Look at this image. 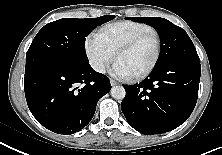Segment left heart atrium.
Wrapping results in <instances>:
<instances>
[{
	"label": "left heart atrium",
	"mask_w": 222,
	"mask_h": 155,
	"mask_svg": "<svg viewBox=\"0 0 222 155\" xmlns=\"http://www.w3.org/2000/svg\"><path fill=\"white\" fill-rule=\"evenodd\" d=\"M112 74L118 78L131 77L129 70L124 66L122 62L117 60L112 67Z\"/></svg>",
	"instance_id": "obj_1"
}]
</instances>
